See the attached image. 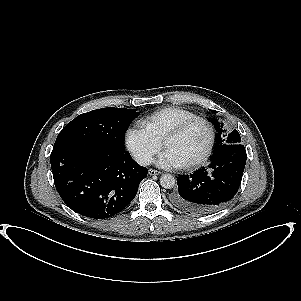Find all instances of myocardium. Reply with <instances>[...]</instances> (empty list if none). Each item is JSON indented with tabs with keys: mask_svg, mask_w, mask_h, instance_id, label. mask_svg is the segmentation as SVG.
<instances>
[{
	"mask_svg": "<svg viewBox=\"0 0 301 301\" xmlns=\"http://www.w3.org/2000/svg\"><path fill=\"white\" fill-rule=\"evenodd\" d=\"M197 122L205 125L207 132H208V141H207L204 151L197 158H195L192 161L187 163L186 167H188V168L195 167V166H198V165L204 163L210 156L211 151L213 149L214 141H215V132H214V128H213V125L211 124V122L203 117H198V116L187 119V120L179 123L178 125H176L171 130H169L166 133V135L164 136L163 142H162L163 147L166 148L167 142L170 139H172L173 137H175L177 135H180L190 125L197 123Z\"/></svg>",
	"mask_w": 301,
	"mask_h": 301,
	"instance_id": "obj_1",
	"label": "myocardium"
}]
</instances>
